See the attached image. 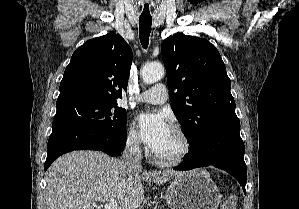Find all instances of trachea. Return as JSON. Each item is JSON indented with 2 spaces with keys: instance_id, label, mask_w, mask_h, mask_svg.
I'll list each match as a JSON object with an SVG mask.
<instances>
[{
  "instance_id": "trachea-1",
  "label": "trachea",
  "mask_w": 299,
  "mask_h": 209,
  "mask_svg": "<svg viewBox=\"0 0 299 209\" xmlns=\"http://www.w3.org/2000/svg\"><path fill=\"white\" fill-rule=\"evenodd\" d=\"M152 18L140 17L139 18V36L143 48H147L149 44V37L151 33Z\"/></svg>"
}]
</instances>
